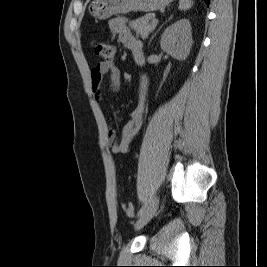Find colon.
<instances>
[{
    "label": "colon",
    "instance_id": "colon-1",
    "mask_svg": "<svg viewBox=\"0 0 267 267\" xmlns=\"http://www.w3.org/2000/svg\"><path fill=\"white\" fill-rule=\"evenodd\" d=\"M93 49L95 54L106 63L112 62L116 55V47L110 43L94 42ZM122 207L128 217L134 216V206L131 203H123Z\"/></svg>",
    "mask_w": 267,
    "mask_h": 267
}]
</instances>
